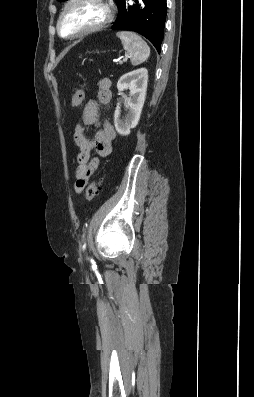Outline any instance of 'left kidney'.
<instances>
[{
  "label": "left kidney",
  "instance_id": "left-kidney-1",
  "mask_svg": "<svg viewBox=\"0 0 254 397\" xmlns=\"http://www.w3.org/2000/svg\"><path fill=\"white\" fill-rule=\"evenodd\" d=\"M148 82V71L146 68H140L120 77L117 83L119 92L129 89L130 97L127 100V115L125 119H120L121 110L117 107L114 113V125L116 131L121 136L130 134L131 129L135 128L140 119L141 111L144 105Z\"/></svg>",
  "mask_w": 254,
  "mask_h": 397
}]
</instances>
